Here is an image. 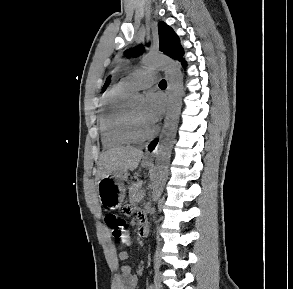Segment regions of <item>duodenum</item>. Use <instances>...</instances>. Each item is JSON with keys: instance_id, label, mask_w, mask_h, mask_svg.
I'll return each instance as SVG.
<instances>
[{"instance_id": "1", "label": "duodenum", "mask_w": 293, "mask_h": 289, "mask_svg": "<svg viewBox=\"0 0 293 289\" xmlns=\"http://www.w3.org/2000/svg\"><path fill=\"white\" fill-rule=\"evenodd\" d=\"M149 230L148 221L146 218H141L140 224H139V234L141 236H147Z\"/></svg>"}]
</instances>
